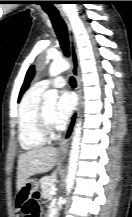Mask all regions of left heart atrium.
I'll use <instances>...</instances> for the list:
<instances>
[{"label": "left heart atrium", "instance_id": "left-heart-atrium-1", "mask_svg": "<svg viewBox=\"0 0 132 217\" xmlns=\"http://www.w3.org/2000/svg\"><path fill=\"white\" fill-rule=\"evenodd\" d=\"M75 106L76 99L74 95L68 91H63L55 105L52 121L58 125L66 123L71 117Z\"/></svg>", "mask_w": 132, "mask_h": 217}]
</instances>
